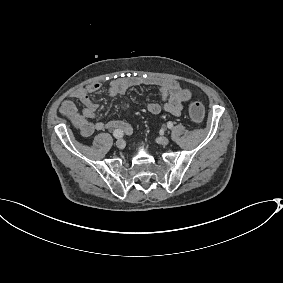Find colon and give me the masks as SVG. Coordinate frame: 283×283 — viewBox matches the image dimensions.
<instances>
[{
  "mask_svg": "<svg viewBox=\"0 0 283 283\" xmlns=\"http://www.w3.org/2000/svg\"><path fill=\"white\" fill-rule=\"evenodd\" d=\"M189 115L191 119L196 122L202 121L205 116V108L203 104L197 101L192 102L189 105Z\"/></svg>",
  "mask_w": 283,
  "mask_h": 283,
  "instance_id": "5ec220e1",
  "label": "colon"
}]
</instances>
